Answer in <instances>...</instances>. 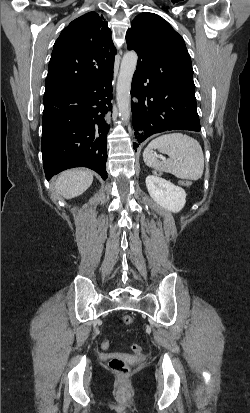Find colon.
<instances>
[{
	"mask_svg": "<svg viewBox=\"0 0 250 413\" xmlns=\"http://www.w3.org/2000/svg\"><path fill=\"white\" fill-rule=\"evenodd\" d=\"M153 177H163L165 171L163 168H153L151 171ZM177 187H188L190 185V180L188 178H177L175 181ZM133 317L130 315H124L119 318V323L123 325H131L133 324ZM101 348L107 350L110 347L108 340L101 339ZM132 351L136 353H141L143 348L141 345L134 343L131 345ZM109 368L112 372L117 374L120 377H127L130 373V367L127 361L122 357H113L110 359Z\"/></svg>",
	"mask_w": 250,
	"mask_h": 413,
	"instance_id": "5ec220e1",
	"label": "colon"
}]
</instances>
